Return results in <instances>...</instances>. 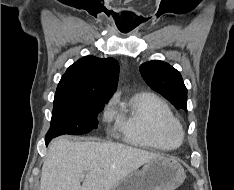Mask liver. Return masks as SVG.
<instances>
[{
  "label": "liver",
  "mask_w": 234,
  "mask_h": 190,
  "mask_svg": "<svg viewBox=\"0 0 234 190\" xmlns=\"http://www.w3.org/2000/svg\"><path fill=\"white\" fill-rule=\"evenodd\" d=\"M157 157L160 155L119 143L73 142L60 137L49 146L40 190H109Z\"/></svg>",
  "instance_id": "obj_1"
}]
</instances>
